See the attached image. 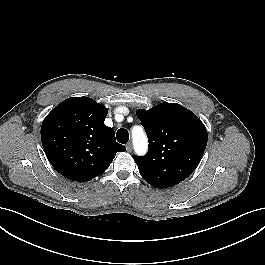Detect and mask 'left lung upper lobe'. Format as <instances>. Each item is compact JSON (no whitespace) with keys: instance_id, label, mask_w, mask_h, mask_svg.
I'll return each instance as SVG.
<instances>
[{"instance_id":"left-lung-upper-lobe-1","label":"left lung upper lobe","mask_w":265,"mask_h":265,"mask_svg":"<svg viewBox=\"0 0 265 265\" xmlns=\"http://www.w3.org/2000/svg\"><path fill=\"white\" fill-rule=\"evenodd\" d=\"M137 117L149 139V151L134 155L139 173L156 188L172 187L198 166L207 145V130L191 111L176 103L138 110Z\"/></svg>"}]
</instances>
